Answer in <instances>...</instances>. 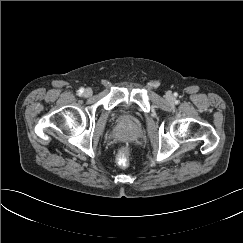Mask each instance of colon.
<instances>
[{
    "label": "colon",
    "mask_w": 243,
    "mask_h": 243,
    "mask_svg": "<svg viewBox=\"0 0 243 243\" xmlns=\"http://www.w3.org/2000/svg\"><path fill=\"white\" fill-rule=\"evenodd\" d=\"M117 163L121 167H127L129 164V147L122 146L117 154Z\"/></svg>",
    "instance_id": "1"
}]
</instances>
